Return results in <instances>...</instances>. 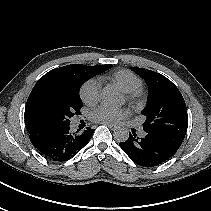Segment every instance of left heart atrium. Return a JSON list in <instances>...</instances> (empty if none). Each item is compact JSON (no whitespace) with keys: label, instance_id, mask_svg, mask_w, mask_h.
Returning <instances> with one entry per match:
<instances>
[{"label":"left heart atrium","instance_id":"obj_1","mask_svg":"<svg viewBox=\"0 0 211 211\" xmlns=\"http://www.w3.org/2000/svg\"><path fill=\"white\" fill-rule=\"evenodd\" d=\"M127 110L123 108H115L106 104L96 107L90 114L95 122H116L127 115Z\"/></svg>","mask_w":211,"mask_h":211}]
</instances>
